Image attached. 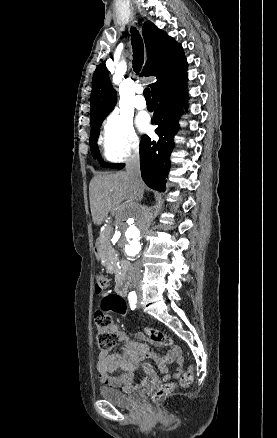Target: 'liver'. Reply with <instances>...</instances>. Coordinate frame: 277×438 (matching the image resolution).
<instances>
[{"instance_id": "6515ba94", "label": "liver", "mask_w": 277, "mask_h": 438, "mask_svg": "<svg viewBox=\"0 0 277 438\" xmlns=\"http://www.w3.org/2000/svg\"><path fill=\"white\" fill-rule=\"evenodd\" d=\"M89 190L92 220L94 224L100 226L111 206H115L118 216H120L122 206L119 204L123 200L126 202L122 205H137L139 210L138 202H140L142 192L146 188L143 184L138 192L133 190L128 182L127 172H117V174H110V176H94L90 182Z\"/></svg>"}]
</instances>
